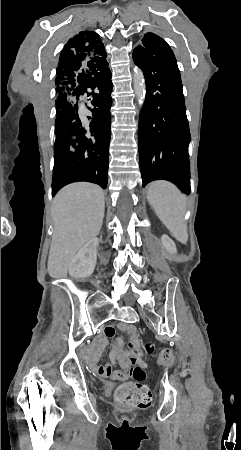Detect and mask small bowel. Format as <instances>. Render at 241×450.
<instances>
[{"label":"small bowel","mask_w":241,"mask_h":450,"mask_svg":"<svg viewBox=\"0 0 241 450\" xmlns=\"http://www.w3.org/2000/svg\"><path fill=\"white\" fill-rule=\"evenodd\" d=\"M117 330L127 334L128 345L125 346L121 337L115 338L109 355V364L96 367L94 358H100V352L107 344L106 337L113 336ZM104 335L105 337L99 338L90 349L91 351L95 350L92 353L93 358L90 366L97 376L116 381H125L131 377L129 372L132 368L137 367L139 364H146L141 349V339L135 325L126 323L107 325L104 328ZM116 366H119V368L116 369Z\"/></svg>","instance_id":"1"}]
</instances>
